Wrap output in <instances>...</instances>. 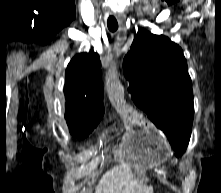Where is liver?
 I'll list each match as a JSON object with an SVG mask.
<instances>
[{
    "label": "liver",
    "mask_w": 221,
    "mask_h": 193,
    "mask_svg": "<svg viewBox=\"0 0 221 193\" xmlns=\"http://www.w3.org/2000/svg\"><path fill=\"white\" fill-rule=\"evenodd\" d=\"M137 183L129 170L124 167H114L108 170L100 179L95 193H136Z\"/></svg>",
    "instance_id": "obj_1"
}]
</instances>
